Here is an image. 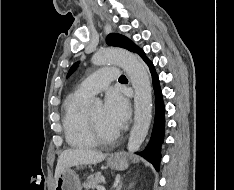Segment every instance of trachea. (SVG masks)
Returning <instances> with one entry per match:
<instances>
[{
  "label": "trachea",
  "instance_id": "trachea-1",
  "mask_svg": "<svg viewBox=\"0 0 234 190\" xmlns=\"http://www.w3.org/2000/svg\"><path fill=\"white\" fill-rule=\"evenodd\" d=\"M125 79H127V78L124 75H121L119 78V80H125Z\"/></svg>",
  "mask_w": 234,
  "mask_h": 190
}]
</instances>
